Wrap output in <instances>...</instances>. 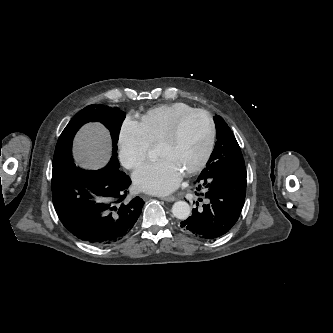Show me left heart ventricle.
I'll return each mask as SVG.
<instances>
[{
	"label": "left heart ventricle",
	"mask_w": 333,
	"mask_h": 333,
	"mask_svg": "<svg viewBox=\"0 0 333 333\" xmlns=\"http://www.w3.org/2000/svg\"><path fill=\"white\" fill-rule=\"evenodd\" d=\"M209 138V124L202 114L189 117L173 142L160 144L158 155L172 160L184 173L201 159Z\"/></svg>",
	"instance_id": "left-heart-ventricle-1"
}]
</instances>
